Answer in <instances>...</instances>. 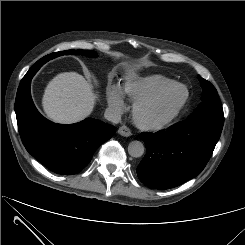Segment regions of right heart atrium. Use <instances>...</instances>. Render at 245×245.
<instances>
[{"instance_id": "right-heart-atrium-1", "label": "right heart atrium", "mask_w": 245, "mask_h": 245, "mask_svg": "<svg viewBox=\"0 0 245 245\" xmlns=\"http://www.w3.org/2000/svg\"><path fill=\"white\" fill-rule=\"evenodd\" d=\"M106 97L110 109L120 114L125 109L124 96L120 86L117 84H109L106 88Z\"/></svg>"}]
</instances>
